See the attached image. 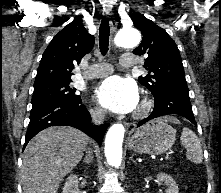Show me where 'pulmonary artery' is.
Listing matches in <instances>:
<instances>
[{"label": "pulmonary artery", "mask_w": 221, "mask_h": 193, "mask_svg": "<svg viewBox=\"0 0 221 193\" xmlns=\"http://www.w3.org/2000/svg\"><path fill=\"white\" fill-rule=\"evenodd\" d=\"M120 64L122 67L130 68L136 64V60L129 55H123L120 58ZM113 72V66L110 64H99L94 67L91 71L85 74L86 79H96L108 76Z\"/></svg>", "instance_id": "pulmonary-artery-1"}]
</instances>
